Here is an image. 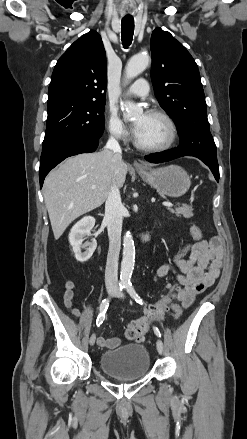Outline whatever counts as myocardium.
Masks as SVG:
<instances>
[{"label":"myocardium","instance_id":"obj_1","mask_svg":"<svg viewBox=\"0 0 247 439\" xmlns=\"http://www.w3.org/2000/svg\"><path fill=\"white\" fill-rule=\"evenodd\" d=\"M146 115L156 116V117L162 118L168 126L169 137L165 143H163L161 145H156V146L144 145L137 139V137H135V139H134L135 146L138 149L145 151V152H162V151H166V150L170 149L175 144V142L177 140V136H178L177 127H176V124H175L173 118L167 112L160 110V109L148 110Z\"/></svg>","mask_w":247,"mask_h":439}]
</instances>
